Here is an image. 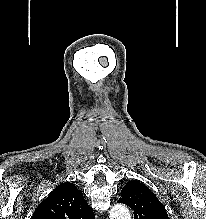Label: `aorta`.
<instances>
[{
	"label": "aorta",
	"mask_w": 206,
	"mask_h": 219,
	"mask_svg": "<svg viewBox=\"0 0 206 219\" xmlns=\"http://www.w3.org/2000/svg\"><path fill=\"white\" fill-rule=\"evenodd\" d=\"M110 219H131V215L125 205L116 204L110 211Z\"/></svg>",
	"instance_id": "1"
}]
</instances>
